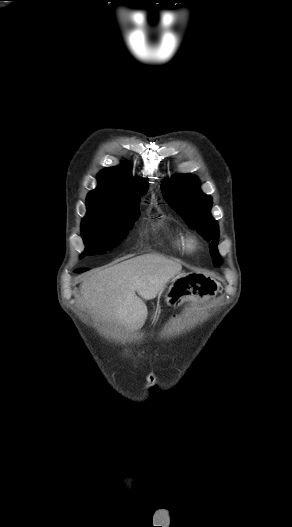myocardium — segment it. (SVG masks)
Listing matches in <instances>:
<instances>
[{"label": "myocardium", "instance_id": "myocardium-1", "mask_svg": "<svg viewBox=\"0 0 292 527\" xmlns=\"http://www.w3.org/2000/svg\"><path fill=\"white\" fill-rule=\"evenodd\" d=\"M186 248H187L188 251L195 250L197 248V241H196V239L193 238V237L187 238Z\"/></svg>", "mask_w": 292, "mask_h": 527}]
</instances>
